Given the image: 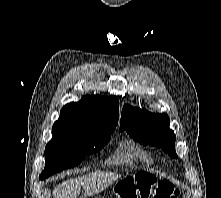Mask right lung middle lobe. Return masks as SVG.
Here are the masks:
<instances>
[{"label": "right lung middle lobe", "mask_w": 221, "mask_h": 198, "mask_svg": "<svg viewBox=\"0 0 221 198\" xmlns=\"http://www.w3.org/2000/svg\"><path fill=\"white\" fill-rule=\"evenodd\" d=\"M114 129H101L85 135L53 134L45 147V169L39 176L44 180L54 173L72 168L87 156L99 152L108 144Z\"/></svg>", "instance_id": "1"}]
</instances>
